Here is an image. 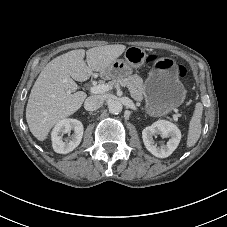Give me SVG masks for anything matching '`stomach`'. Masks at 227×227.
<instances>
[{
    "label": "stomach",
    "mask_w": 227,
    "mask_h": 227,
    "mask_svg": "<svg viewBox=\"0 0 227 227\" xmlns=\"http://www.w3.org/2000/svg\"><path fill=\"white\" fill-rule=\"evenodd\" d=\"M146 57L144 49L131 46L125 51L124 59L115 60L101 74L106 79L124 78L132 73L133 68L141 67ZM186 92L179 80L175 61L161 58L155 62L145 82V111L153 117L165 116L184 102Z\"/></svg>",
    "instance_id": "0dacf381"
}]
</instances>
